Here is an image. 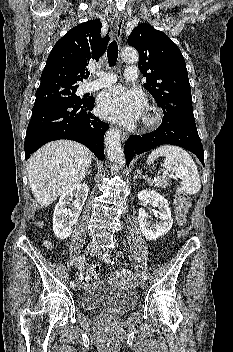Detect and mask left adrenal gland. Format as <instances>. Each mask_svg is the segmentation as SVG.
<instances>
[{
	"instance_id": "obj_1",
	"label": "left adrenal gland",
	"mask_w": 233,
	"mask_h": 352,
	"mask_svg": "<svg viewBox=\"0 0 233 352\" xmlns=\"http://www.w3.org/2000/svg\"><path fill=\"white\" fill-rule=\"evenodd\" d=\"M140 174H141V171H140V170H137V171L135 172L134 179H137L138 177H141Z\"/></svg>"
}]
</instances>
